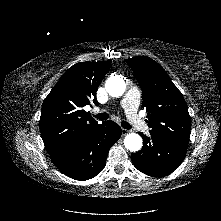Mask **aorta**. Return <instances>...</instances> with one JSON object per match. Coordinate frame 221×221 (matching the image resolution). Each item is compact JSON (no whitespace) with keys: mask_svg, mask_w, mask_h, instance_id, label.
I'll return each mask as SVG.
<instances>
[{"mask_svg":"<svg viewBox=\"0 0 221 221\" xmlns=\"http://www.w3.org/2000/svg\"><path fill=\"white\" fill-rule=\"evenodd\" d=\"M105 88L112 97H120L124 94L126 83L120 76H111L106 80ZM126 149L136 152L142 147V138L136 133H129L124 139Z\"/></svg>","mask_w":221,"mask_h":221,"instance_id":"obj_1","label":"aorta"}]
</instances>
